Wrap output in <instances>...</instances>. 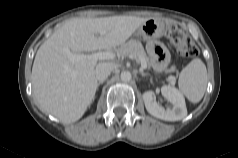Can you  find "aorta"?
Here are the masks:
<instances>
[{
	"instance_id": "aorta-1",
	"label": "aorta",
	"mask_w": 238,
	"mask_h": 158,
	"mask_svg": "<svg viewBox=\"0 0 238 158\" xmlns=\"http://www.w3.org/2000/svg\"><path fill=\"white\" fill-rule=\"evenodd\" d=\"M120 78L123 82H130L132 79V75L129 71H123L120 75Z\"/></svg>"
}]
</instances>
